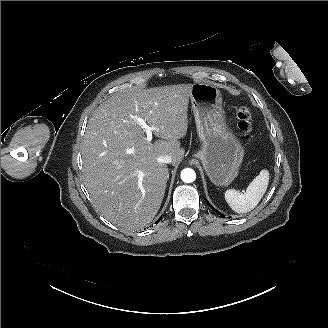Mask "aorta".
Masks as SVG:
<instances>
[{"label": "aorta", "instance_id": "762f6f07", "mask_svg": "<svg viewBox=\"0 0 328 328\" xmlns=\"http://www.w3.org/2000/svg\"><path fill=\"white\" fill-rule=\"evenodd\" d=\"M181 179L185 183H192L196 179V173L191 168H185L181 171Z\"/></svg>", "mask_w": 328, "mask_h": 328}]
</instances>
